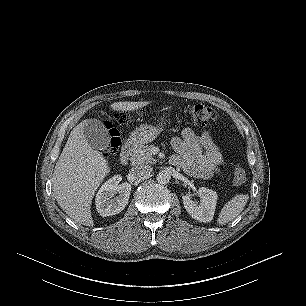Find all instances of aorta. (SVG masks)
<instances>
[{"label": "aorta", "mask_w": 306, "mask_h": 306, "mask_svg": "<svg viewBox=\"0 0 306 306\" xmlns=\"http://www.w3.org/2000/svg\"><path fill=\"white\" fill-rule=\"evenodd\" d=\"M170 173L166 170H162L160 171L158 174H157V181L160 183V184H167L169 183L170 181Z\"/></svg>", "instance_id": "obj_1"}]
</instances>
